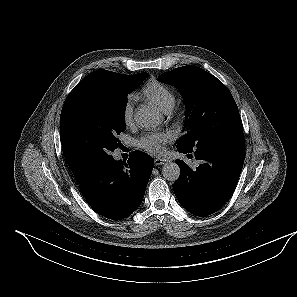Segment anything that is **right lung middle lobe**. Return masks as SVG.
Returning <instances> with one entry per match:
<instances>
[{"label":"right lung middle lobe","mask_w":297,"mask_h":297,"mask_svg":"<svg viewBox=\"0 0 297 297\" xmlns=\"http://www.w3.org/2000/svg\"><path fill=\"white\" fill-rule=\"evenodd\" d=\"M147 77V73L127 76L110 92L85 95L60 116L63 152L81 169L90 168L112 157L125 131L127 94Z\"/></svg>","instance_id":"right-lung-middle-lobe-1"}]
</instances>
